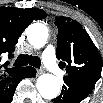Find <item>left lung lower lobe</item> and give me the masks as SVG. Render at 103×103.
I'll return each mask as SVG.
<instances>
[{"label":"left lung lower lobe","mask_w":103,"mask_h":103,"mask_svg":"<svg viewBox=\"0 0 103 103\" xmlns=\"http://www.w3.org/2000/svg\"><path fill=\"white\" fill-rule=\"evenodd\" d=\"M61 94L52 103H80L93 90L95 81L64 77Z\"/></svg>","instance_id":"0a47b994"}]
</instances>
